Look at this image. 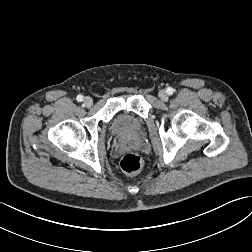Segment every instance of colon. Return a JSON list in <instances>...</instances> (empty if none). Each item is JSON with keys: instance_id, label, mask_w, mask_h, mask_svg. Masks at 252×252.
Wrapping results in <instances>:
<instances>
[{"instance_id": "colon-1", "label": "colon", "mask_w": 252, "mask_h": 252, "mask_svg": "<svg viewBox=\"0 0 252 252\" xmlns=\"http://www.w3.org/2000/svg\"><path fill=\"white\" fill-rule=\"evenodd\" d=\"M143 159L135 153L125 154L120 162L122 170L128 174H136L143 168Z\"/></svg>"}]
</instances>
